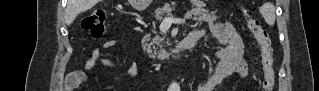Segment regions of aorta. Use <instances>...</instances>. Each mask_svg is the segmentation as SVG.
<instances>
[{
	"instance_id": "1",
	"label": "aorta",
	"mask_w": 319,
	"mask_h": 91,
	"mask_svg": "<svg viewBox=\"0 0 319 91\" xmlns=\"http://www.w3.org/2000/svg\"><path fill=\"white\" fill-rule=\"evenodd\" d=\"M171 88L176 89V91H179V89H180V87H179V85L177 83H173L171 85Z\"/></svg>"
}]
</instances>
